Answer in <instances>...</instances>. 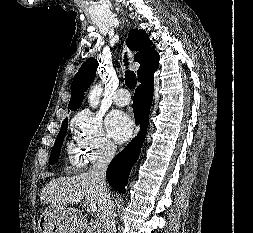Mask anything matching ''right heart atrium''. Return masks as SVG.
I'll list each match as a JSON object with an SVG mask.
<instances>
[{
    "label": "right heart atrium",
    "mask_w": 253,
    "mask_h": 233,
    "mask_svg": "<svg viewBox=\"0 0 253 233\" xmlns=\"http://www.w3.org/2000/svg\"><path fill=\"white\" fill-rule=\"evenodd\" d=\"M72 131L87 162L107 158L115 151V145L106 134L101 118L89 110L76 115Z\"/></svg>",
    "instance_id": "1"
}]
</instances>
